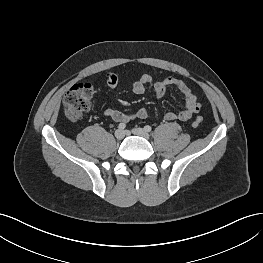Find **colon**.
<instances>
[{"instance_id":"5ec220e1","label":"colon","mask_w":263,"mask_h":263,"mask_svg":"<svg viewBox=\"0 0 263 263\" xmlns=\"http://www.w3.org/2000/svg\"><path fill=\"white\" fill-rule=\"evenodd\" d=\"M93 98V86L89 83H79L72 86L64 95L63 106L66 117L71 121L80 120L89 109ZM202 120L197 118L193 126L197 127Z\"/></svg>"}]
</instances>
